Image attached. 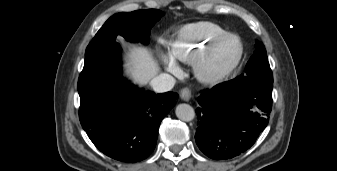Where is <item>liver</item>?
Here are the masks:
<instances>
[{"instance_id":"obj_1","label":"liver","mask_w":337,"mask_h":171,"mask_svg":"<svg viewBox=\"0 0 337 171\" xmlns=\"http://www.w3.org/2000/svg\"><path fill=\"white\" fill-rule=\"evenodd\" d=\"M126 67L134 81L140 84H147L159 71L151 53L143 47L130 49Z\"/></svg>"}]
</instances>
